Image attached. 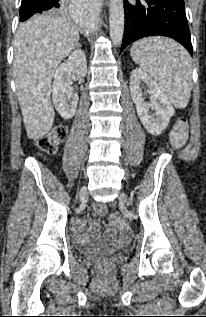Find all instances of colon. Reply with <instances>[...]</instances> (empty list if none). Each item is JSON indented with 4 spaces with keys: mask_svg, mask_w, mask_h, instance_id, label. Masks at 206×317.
<instances>
[{
    "mask_svg": "<svg viewBox=\"0 0 206 317\" xmlns=\"http://www.w3.org/2000/svg\"><path fill=\"white\" fill-rule=\"evenodd\" d=\"M188 126L185 119H180L172 129L170 139L173 147L182 148L187 140ZM67 135V128L63 125H58L51 130L49 134L42 137L37 141L38 148L45 154H54L57 150V146L62 142ZM94 210L98 215H104L107 208L103 204H96ZM109 221L121 230L127 231L128 227L123 218L118 214H112L109 217ZM99 267L102 270L110 268L109 263H101Z\"/></svg>",
    "mask_w": 206,
    "mask_h": 317,
    "instance_id": "1",
    "label": "colon"
}]
</instances>
